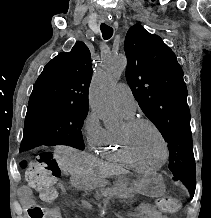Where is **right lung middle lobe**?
I'll return each mask as SVG.
<instances>
[{
    "mask_svg": "<svg viewBox=\"0 0 211 218\" xmlns=\"http://www.w3.org/2000/svg\"><path fill=\"white\" fill-rule=\"evenodd\" d=\"M88 107L39 103L29 104L25 118V140L38 144H68L84 149L81 128Z\"/></svg>",
    "mask_w": 211,
    "mask_h": 218,
    "instance_id": "right-lung-middle-lobe-1",
    "label": "right lung middle lobe"
}]
</instances>
